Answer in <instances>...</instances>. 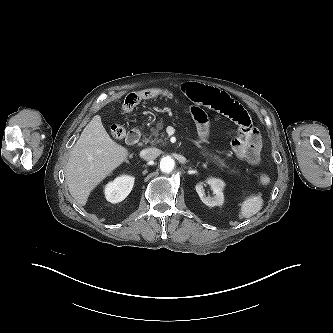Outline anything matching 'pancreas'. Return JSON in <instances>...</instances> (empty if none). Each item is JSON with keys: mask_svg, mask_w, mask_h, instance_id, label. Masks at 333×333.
<instances>
[{"mask_svg": "<svg viewBox=\"0 0 333 333\" xmlns=\"http://www.w3.org/2000/svg\"><path fill=\"white\" fill-rule=\"evenodd\" d=\"M163 128V122L161 121L160 123H158L156 125V128H151V134L149 137H147L146 135L144 136L143 142L145 143H150V144H158L160 142V140L162 139V137H164V134H160L159 131ZM204 156L208 157L209 160L215 164H217L220 168L223 167H228L225 163L224 159H221L218 155L210 152V151H206L204 152Z\"/></svg>", "mask_w": 333, "mask_h": 333, "instance_id": "obj_1", "label": "pancreas"}]
</instances>
